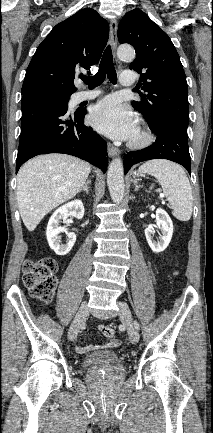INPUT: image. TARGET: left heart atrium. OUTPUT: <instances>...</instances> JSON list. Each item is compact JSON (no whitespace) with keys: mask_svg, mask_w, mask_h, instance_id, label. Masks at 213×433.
I'll list each match as a JSON object with an SVG mask.
<instances>
[{"mask_svg":"<svg viewBox=\"0 0 213 433\" xmlns=\"http://www.w3.org/2000/svg\"><path fill=\"white\" fill-rule=\"evenodd\" d=\"M91 125L106 136L126 140L134 136L136 121L126 105L113 96L106 97L96 104L90 114Z\"/></svg>","mask_w":213,"mask_h":433,"instance_id":"39dd6f15","label":"left heart atrium"}]
</instances>
